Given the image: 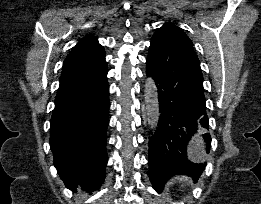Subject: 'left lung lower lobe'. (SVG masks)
<instances>
[{
    "label": "left lung lower lobe",
    "instance_id": "left-lung-lower-lobe-1",
    "mask_svg": "<svg viewBox=\"0 0 261 204\" xmlns=\"http://www.w3.org/2000/svg\"><path fill=\"white\" fill-rule=\"evenodd\" d=\"M146 74L158 89L159 121L149 141V176L157 192L173 175L195 181L204 170L194 162L193 145L209 152L211 136L206 113L203 76L193 45L176 33L153 35L146 59Z\"/></svg>",
    "mask_w": 261,
    "mask_h": 204
}]
</instances>
